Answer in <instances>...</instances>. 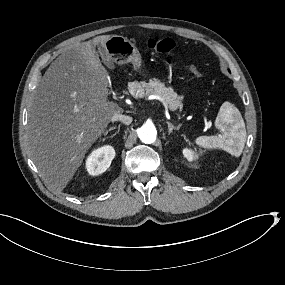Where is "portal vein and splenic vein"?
I'll use <instances>...</instances> for the list:
<instances>
[{
  "label": "portal vein and splenic vein",
  "instance_id": "18ae733b",
  "mask_svg": "<svg viewBox=\"0 0 285 285\" xmlns=\"http://www.w3.org/2000/svg\"><path fill=\"white\" fill-rule=\"evenodd\" d=\"M150 97H152L151 99H157V100H162V96L158 93V94H154V95H151Z\"/></svg>",
  "mask_w": 285,
  "mask_h": 285
}]
</instances>
